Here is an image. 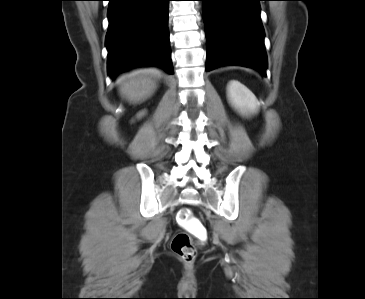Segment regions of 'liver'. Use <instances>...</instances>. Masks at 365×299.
I'll use <instances>...</instances> for the list:
<instances>
[{"instance_id": "1", "label": "liver", "mask_w": 365, "mask_h": 299, "mask_svg": "<svg viewBox=\"0 0 365 299\" xmlns=\"http://www.w3.org/2000/svg\"><path fill=\"white\" fill-rule=\"evenodd\" d=\"M122 97L131 103L149 98L156 89V71L140 69L122 77L119 86Z\"/></svg>"}]
</instances>
